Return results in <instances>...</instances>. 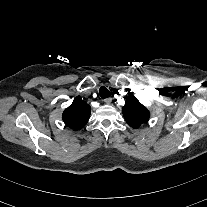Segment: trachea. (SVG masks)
Segmentation results:
<instances>
[{"mask_svg":"<svg viewBox=\"0 0 207 207\" xmlns=\"http://www.w3.org/2000/svg\"><path fill=\"white\" fill-rule=\"evenodd\" d=\"M99 94H100L101 98H107V97H109L111 95L109 90L106 87H104V86L100 87Z\"/></svg>","mask_w":207,"mask_h":207,"instance_id":"obj_1","label":"trachea"}]
</instances>
